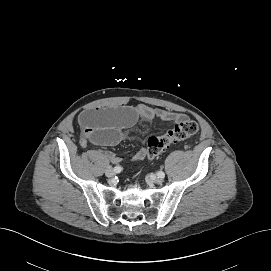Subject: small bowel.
<instances>
[{
    "mask_svg": "<svg viewBox=\"0 0 271 271\" xmlns=\"http://www.w3.org/2000/svg\"><path fill=\"white\" fill-rule=\"evenodd\" d=\"M186 118L184 114L154 108L145 104L115 109L88 110L82 112L79 116V125L81 127L80 143L83 147L90 144L112 146L126 139L127 129L139 120L159 119L169 123H176ZM146 155L147 149L142 148L134 155L133 160H142ZM107 156L113 163L120 162V158L111 152H108Z\"/></svg>",
    "mask_w": 271,
    "mask_h": 271,
    "instance_id": "obj_1",
    "label": "small bowel"
}]
</instances>
